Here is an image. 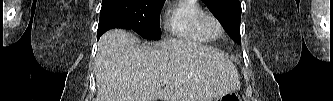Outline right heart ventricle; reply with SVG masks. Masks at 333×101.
Listing matches in <instances>:
<instances>
[{
	"instance_id": "e07e8e85",
	"label": "right heart ventricle",
	"mask_w": 333,
	"mask_h": 101,
	"mask_svg": "<svg viewBox=\"0 0 333 101\" xmlns=\"http://www.w3.org/2000/svg\"><path fill=\"white\" fill-rule=\"evenodd\" d=\"M205 9L196 0H180L169 12L166 27L178 39L207 43L211 37L205 31L202 18Z\"/></svg>"
}]
</instances>
